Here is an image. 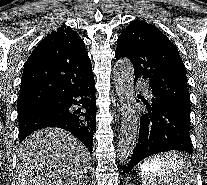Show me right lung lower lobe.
I'll return each instance as SVG.
<instances>
[{
  "label": "right lung lower lobe",
  "mask_w": 207,
  "mask_h": 185,
  "mask_svg": "<svg viewBox=\"0 0 207 185\" xmlns=\"http://www.w3.org/2000/svg\"><path fill=\"white\" fill-rule=\"evenodd\" d=\"M73 105L81 108L74 110ZM96 99L94 77L73 84L54 101L18 113L19 140L32 132L57 127L74 134L92 152L96 131Z\"/></svg>",
  "instance_id": "obj_1"
}]
</instances>
